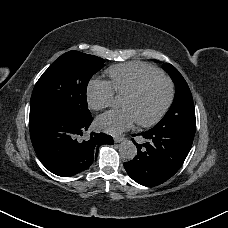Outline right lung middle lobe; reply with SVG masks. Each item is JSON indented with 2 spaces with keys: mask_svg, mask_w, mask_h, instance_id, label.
<instances>
[{
  "mask_svg": "<svg viewBox=\"0 0 228 228\" xmlns=\"http://www.w3.org/2000/svg\"><path fill=\"white\" fill-rule=\"evenodd\" d=\"M104 60L79 51L61 55L39 78L31 96L30 117L53 114L72 121L91 118L86 90Z\"/></svg>",
  "mask_w": 228,
  "mask_h": 228,
  "instance_id": "dd1d6c3e",
  "label": "right lung middle lobe"
}]
</instances>
